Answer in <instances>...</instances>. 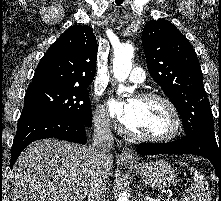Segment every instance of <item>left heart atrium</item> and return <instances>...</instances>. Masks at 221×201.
I'll use <instances>...</instances> for the list:
<instances>
[{
  "label": "left heart atrium",
  "instance_id": "1",
  "mask_svg": "<svg viewBox=\"0 0 221 201\" xmlns=\"http://www.w3.org/2000/svg\"><path fill=\"white\" fill-rule=\"evenodd\" d=\"M108 109L111 116L123 122L129 114L130 103L128 101L122 102L115 99H110L108 101Z\"/></svg>",
  "mask_w": 221,
  "mask_h": 201
}]
</instances>
